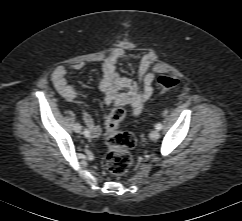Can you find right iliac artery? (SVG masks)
Listing matches in <instances>:
<instances>
[{
  "instance_id": "right-iliac-artery-1",
  "label": "right iliac artery",
  "mask_w": 242,
  "mask_h": 221,
  "mask_svg": "<svg viewBox=\"0 0 242 221\" xmlns=\"http://www.w3.org/2000/svg\"><path fill=\"white\" fill-rule=\"evenodd\" d=\"M83 134H84L85 137L90 136V132L87 129L84 130Z\"/></svg>"
}]
</instances>
